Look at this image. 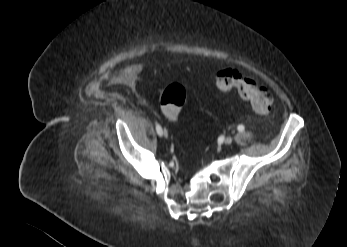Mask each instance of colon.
<instances>
[{"mask_svg": "<svg viewBox=\"0 0 347 247\" xmlns=\"http://www.w3.org/2000/svg\"><path fill=\"white\" fill-rule=\"evenodd\" d=\"M215 83L217 89L222 93L234 89L238 90L241 96L251 104L254 111L258 113L264 114L271 109L273 98L270 91L237 70L224 69L219 71L216 74ZM185 100L186 91L182 85L177 83L169 85L160 98L163 114L169 120L177 121Z\"/></svg>", "mask_w": 347, "mask_h": 247, "instance_id": "1", "label": "colon"}]
</instances>
